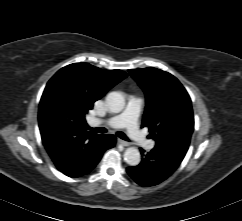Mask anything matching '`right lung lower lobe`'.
I'll return each mask as SVG.
<instances>
[{"mask_svg":"<svg viewBox=\"0 0 242 221\" xmlns=\"http://www.w3.org/2000/svg\"><path fill=\"white\" fill-rule=\"evenodd\" d=\"M114 135H96L81 143L73 156L62 162H54L58 170L69 177H80L89 173L100 161L105 150L115 145Z\"/></svg>","mask_w":242,"mask_h":221,"instance_id":"1","label":"right lung lower lobe"}]
</instances>
